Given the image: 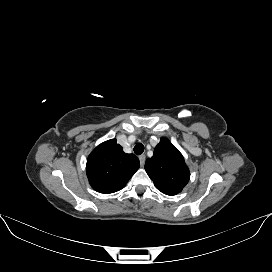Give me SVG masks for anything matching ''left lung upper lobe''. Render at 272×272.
I'll return each mask as SVG.
<instances>
[{"instance_id":"1","label":"left lung upper lobe","mask_w":272,"mask_h":272,"mask_svg":"<svg viewBox=\"0 0 272 272\" xmlns=\"http://www.w3.org/2000/svg\"><path fill=\"white\" fill-rule=\"evenodd\" d=\"M145 170L156 188L166 195H176L189 181L190 172L179 150L163 137L154 154L145 163Z\"/></svg>"}]
</instances>
